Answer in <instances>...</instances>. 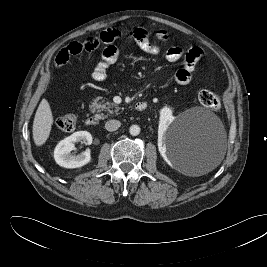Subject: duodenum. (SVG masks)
Here are the masks:
<instances>
[{"instance_id":"1","label":"duodenum","mask_w":267,"mask_h":267,"mask_svg":"<svg viewBox=\"0 0 267 267\" xmlns=\"http://www.w3.org/2000/svg\"><path fill=\"white\" fill-rule=\"evenodd\" d=\"M147 108V102L144 101V100H141V101H138L136 104H135V109L138 110V111H143ZM85 124L87 126H94V125H97L98 124V119L95 117V116H88L86 119H85Z\"/></svg>"}]
</instances>
